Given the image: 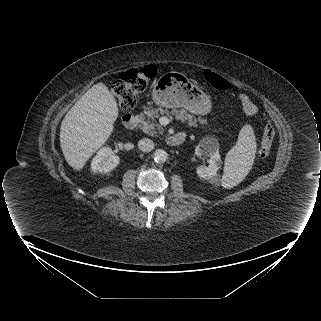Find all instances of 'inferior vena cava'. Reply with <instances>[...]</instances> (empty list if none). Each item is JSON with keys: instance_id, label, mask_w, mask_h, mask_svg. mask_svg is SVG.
I'll return each mask as SVG.
<instances>
[{"instance_id": "602c4592", "label": "inferior vena cava", "mask_w": 321, "mask_h": 321, "mask_svg": "<svg viewBox=\"0 0 321 321\" xmlns=\"http://www.w3.org/2000/svg\"><path fill=\"white\" fill-rule=\"evenodd\" d=\"M138 148L143 152H150L154 149V142L151 139L143 138L139 140Z\"/></svg>"}]
</instances>
